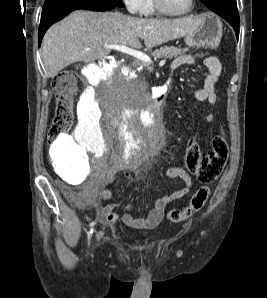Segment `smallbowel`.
Returning a JSON list of instances; mask_svg holds the SVG:
<instances>
[{"instance_id": "obj_1", "label": "small bowel", "mask_w": 267, "mask_h": 298, "mask_svg": "<svg viewBox=\"0 0 267 298\" xmlns=\"http://www.w3.org/2000/svg\"><path fill=\"white\" fill-rule=\"evenodd\" d=\"M194 58L190 55H181L173 60L171 68L176 70L184 65H192ZM204 64L207 67L209 74L203 79L202 86L194 92V97L200 102H205L210 105H215L218 102V95L216 93V86L218 78L221 74V63L217 57L210 56L205 58ZM208 122L213 123L214 115L207 117ZM73 145L79 146L76 142ZM166 176L170 179H179L184 183V186L174 191L171 194L163 195L156 198L148 215L143 218H136L131 214L132 205L130 203L125 206V213L121 220L123 224L130 229L135 230H149L157 227L163 219L165 207L184 196H186L192 187V179L190 174L180 166H170L166 169ZM112 197V192L108 188H103L99 194L87 193L84 196V201L88 204L94 205L99 212L100 218L107 224H114L119 215L115 211L118 206L117 203L101 204L100 199L108 200Z\"/></svg>"}]
</instances>
